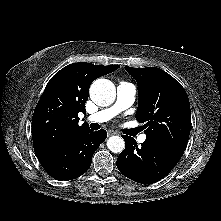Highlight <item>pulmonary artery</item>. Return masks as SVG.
Wrapping results in <instances>:
<instances>
[{
  "mask_svg": "<svg viewBox=\"0 0 221 221\" xmlns=\"http://www.w3.org/2000/svg\"><path fill=\"white\" fill-rule=\"evenodd\" d=\"M117 98L116 102L113 106L100 110L90 116L87 117L89 122L93 123H103L107 122L116 116L121 111L130 107L134 101L136 96V89L135 87L127 82L121 81L118 83L117 88ZM146 140V135H141L138 138L140 143H143Z\"/></svg>",
  "mask_w": 221,
  "mask_h": 221,
  "instance_id": "pulmonary-artery-1",
  "label": "pulmonary artery"
}]
</instances>
